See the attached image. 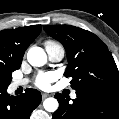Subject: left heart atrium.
<instances>
[{"label":"left heart atrium","instance_id":"39dd6f15","mask_svg":"<svg viewBox=\"0 0 119 119\" xmlns=\"http://www.w3.org/2000/svg\"><path fill=\"white\" fill-rule=\"evenodd\" d=\"M55 75L53 73H43L40 74L36 80V84L38 87L42 89L49 88L50 84L54 81Z\"/></svg>","mask_w":119,"mask_h":119}]
</instances>
